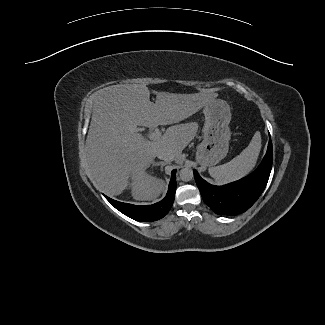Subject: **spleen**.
I'll return each mask as SVG.
<instances>
[{
  "label": "spleen",
  "instance_id": "3e777b00",
  "mask_svg": "<svg viewBox=\"0 0 325 325\" xmlns=\"http://www.w3.org/2000/svg\"><path fill=\"white\" fill-rule=\"evenodd\" d=\"M261 150V134L255 132L249 145L230 162L209 168V174L219 184L238 180L249 174L256 165Z\"/></svg>",
  "mask_w": 325,
  "mask_h": 325
}]
</instances>
